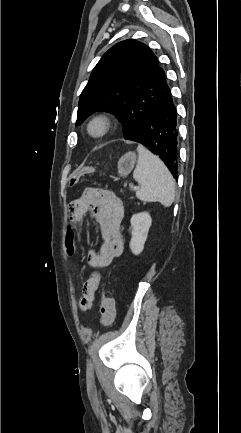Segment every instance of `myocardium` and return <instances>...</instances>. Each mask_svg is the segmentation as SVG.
Segmentation results:
<instances>
[{"instance_id":"f54148a6","label":"myocardium","mask_w":241,"mask_h":433,"mask_svg":"<svg viewBox=\"0 0 241 433\" xmlns=\"http://www.w3.org/2000/svg\"><path fill=\"white\" fill-rule=\"evenodd\" d=\"M113 118L108 113H97L86 123L85 130L87 135L93 140L106 137L113 128Z\"/></svg>"}]
</instances>
